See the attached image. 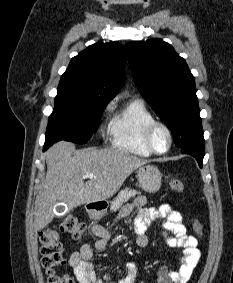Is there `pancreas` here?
<instances>
[{"label": "pancreas", "mask_w": 233, "mask_h": 283, "mask_svg": "<svg viewBox=\"0 0 233 283\" xmlns=\"http://www.w3.org/2000/svg\"><path fill=\"white\" fill-rule=\"evenodd\" d=\"M138 194H140V192L130 188H125L121 190L118 193L117 197L112 201L111 210L116 211L122 206L124 202L128 201L130 198H134Z\"/></svg>", "instance_id": "1"}]
</instances>
